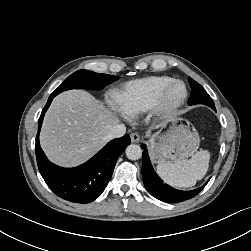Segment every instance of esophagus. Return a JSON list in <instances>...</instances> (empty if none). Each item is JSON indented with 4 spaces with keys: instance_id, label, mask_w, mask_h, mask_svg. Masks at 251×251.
I'll return each mask as SVG.
<instances>
[{
    "instance_id": "obj_1",
    "label": "esophagus",
    "mask_w": 251,
    "mask_h": 251,
    "mask_svg": "<svg viewBox=\"0 0 251 251\" xmlns=\"http://www.w3.org/2000/svg\"><path fill=\"white\" fill-rule=\"evenodd\" d=\"M131 141L137 143L140 141V135L138 133H131L130 135Z\"/></svg>"
}]
</instances>
